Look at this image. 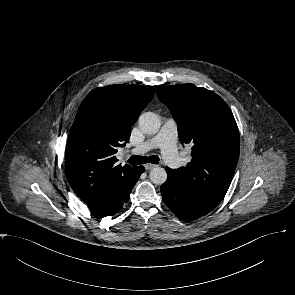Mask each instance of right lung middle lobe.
I'll return each mask as SVG.
<instances>
[{
	"label": "right lung middle lobe",
	"mask_w": 295,
	"mask_h": 295,
	"mask_svg": "<svg viewBox=\"0 0 295 295\" xmlns=\"http://www.w3.org/2000/svg\"><path fill=\"white\" fill-rule=\"evenodd\" d=\"M89 110L93 116L102 117L106 113V107L99 97H93L89 102Z\"/></svg>",
	"instance_id": "right-lung-middle-lobe-1"
}]
</instances>
